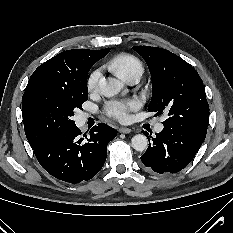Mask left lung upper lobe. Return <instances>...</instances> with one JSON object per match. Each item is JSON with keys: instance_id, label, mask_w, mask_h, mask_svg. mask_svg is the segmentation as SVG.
I'll use <instances>...</instances> for the list:
<instances>
[{"instance_id": "1", "label": "left lung upper lobe", "mask_w": 233, "mask_h": 233, "mask_svg": "<svg viewBox=\"0 0 233 233\" xmlns=\"http://www.w3.org/2000/svg\"><path fill=\"white\" fill-rule=\"evenodd\" d=\"M133 49L146 61L152 79L149 112H165L166 125L184 126L207 133L209 106L196 70L172 52L149 46Z\"/></svg>"}]
</instances>
